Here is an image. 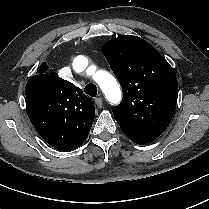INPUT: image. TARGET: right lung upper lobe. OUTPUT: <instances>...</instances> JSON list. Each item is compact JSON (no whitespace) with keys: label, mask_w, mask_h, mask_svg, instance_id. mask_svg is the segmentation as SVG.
Wrapping results in <instances>:
<instances>
[{"label":"right lung upper lobe","mask_w":209,"mask_h":209,"mask_svg":"<svg viewBox=\"0 0 209 209\" xmlns=\"http://www.w3.org/2000/svg\"><path fill=\"white\" fill-rule=\"evenodd\" d=\"M47 68L42 63L38 73L27 82V114L41 137L52 136L56 142L68 144L63 151H72L89 134L95 116L94 103L73 83L47 74Z\"/></svg>","instance_id":"right-lung-upper-lobe-1"}]
</instances>
